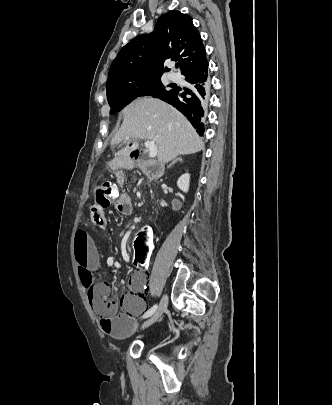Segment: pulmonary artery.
<instances>
[{"instance_id": "pulmonary-artery-1", "label": "pulmonary artery", "mask_w": 332, "mask_h": 405, "mask_svg": "<svg viewBox=\"0 0 332 405\" xmlns=\"http://www.w3.org/2000/svg\"><path fill=\"white\" fill-rule=\"evenodd\" d=\"M168 77L173 82H178L180 80V77L174 73H170Z\"/></svg>"}]
</instances>
